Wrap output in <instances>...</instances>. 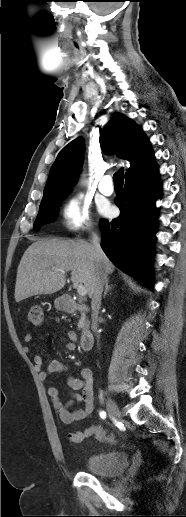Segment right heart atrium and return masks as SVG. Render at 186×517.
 <instances>
[{"label": "right heart atrium", "instance_id": "d8ad5b80", "mask_svg": "<svg viewBox=\"0 0 186 517\" xmlns=\"http://www.w3.org/2000/svg\"><path fill=\"white\" fill-rule=\"evenodd\" d=\"M61 219L69 232H80L92 227L91 206L79 194L69 197L61 207Z\"/></svg>", "mask_w": 186, "mask_h": 517}]
</instances>
